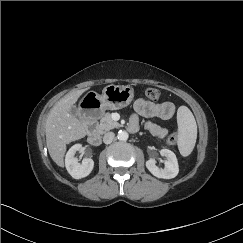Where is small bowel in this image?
<instances>
[{
    "mask_svg": "<svg viewBox=\"0 0 243 243\" xmlns=\"http://www.w3.org/2000/svg\"><path fill=\"white\" fill-rule=\"evenodd\" d=\"M134 109L136 114L131 118L130 128L132 130H135L137 127V116L169 120L172 119L175 114V106L168 101L154 103L145 99H138L135 102ZM145 127L154 136L160 139L164 138L167 134V131L156 122L149 121L145 124Z\"/></svg>",
    "mask_w": 243,
    "mask_h": 243,
    "instance_id": "c3829d8e",
    "label": "small bowel"
}]
</instances>
